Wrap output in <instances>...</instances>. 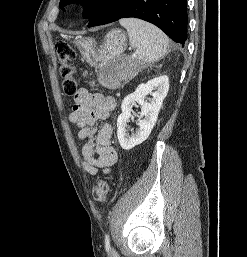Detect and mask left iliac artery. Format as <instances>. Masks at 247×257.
<instances>
[{
    "label": "left iliac artery",
    "mask_w": 247,
    "mask_h": 257,
    "mask_svg": "<svg viewBox=\"0 0 247 257\" xmlns=\"http://www.w3.org/2000/svg\"><path fill=\"white\" fill-rule=\"evenodd\" d=\"M105 247H106L107 250L110 249V241H109V235L108 234L105 236Z\"/></svg>",
    "instance_id": "1"
}]
</instances>
